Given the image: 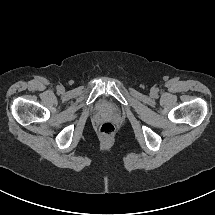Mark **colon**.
Here are the masks:
<instances>
[{"mask_svg": "<svg viewBox=\"0 0 215 215\" xmlns=\"http://www.w3.org/2000/svg\"><path fill=\"white\" fill-rule=\"evenodd\" d=\"M115 131V126L114 124H112L111 122H104L101 126H100V132L104 135V136H111Z\"/></svg>", "mask_w": 215, "mask_h": 215, "instance_id": "colon-1", "label": "colon"}]
</instances>
